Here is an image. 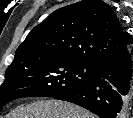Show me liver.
<instances>
[{
    "label": "liver",
    "mask_w": 133,
    "mask_h": 118,
    "mask_svg": "<svg viewBox=\"0 0 133 118\" xmlns=\"http://www.w3.org/2000/svg\"><path fill=\"white\" fill-rule=\"evenodd\" d=\"M10 115L12 118H96L80 106L57 100H41L18 106Z\"/></svg>",
    "instance_id": "obj_1"
}]
</instances>
